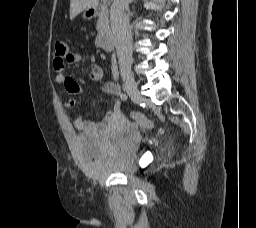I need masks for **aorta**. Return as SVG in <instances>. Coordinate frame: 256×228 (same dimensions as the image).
<instances>
[{"label":"aorta","mask_w":256,"mask_h":228,"mask_svg":"<svg viewBox=\"0 0 256 228\" xmlns=\"http://www.w3.org/2000/svg\"><path fill=\"white\" fill-rule=\"evenodd\" d=\"M126 17V19L129 21V18H128V16H125Z\"/></svg>","instance_id":"762f6f07"}]
</instances>
